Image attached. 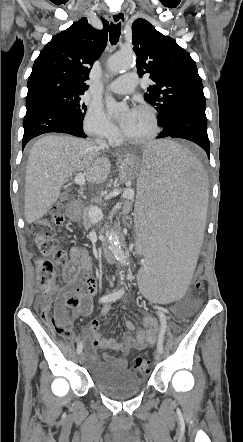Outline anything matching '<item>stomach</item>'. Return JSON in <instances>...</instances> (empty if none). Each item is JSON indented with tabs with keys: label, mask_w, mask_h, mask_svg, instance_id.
Returning <instances> with one entry per match:
<instances>
[{
	"label": "stomach",
	"mask_w": 243,
	"mask_h": 442,
	"mask_svg": "<svg viewBox=\"0 0 243 442\" xmlns=\"http://www.w3.org/2000/svg\"><path fill=\"white\" fill-rule=\"evenodd\" d=\"M139 157L135 155H125L119 161V176L121 181L130 180L136 177V167L139 163Z\"/></svg>",
	"instance_id": "obj_1"
}]
</instances>
